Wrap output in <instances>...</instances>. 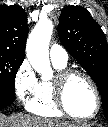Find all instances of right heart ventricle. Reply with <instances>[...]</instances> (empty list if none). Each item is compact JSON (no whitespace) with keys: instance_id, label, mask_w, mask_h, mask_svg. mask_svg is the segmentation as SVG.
Returning <instances> with one entry per match:
<instances>
[{"instance_id":"right-heart-ventricle-1","label":"right heart ventricle","mask_w":108,"mask_h":127,"mask_svg":"<svg viewBox=\"0 0 108 127\" xmlns=\"http://www.w3.org/2000/svg\"><path fill=\"white\" fill-rule=\"evenodd\" d=\"M53 65L59 72L66 69V64L53 63ZM27 107L31 113L42 117L64 116L55 103L53 81H40L38 91Z\"/></svg>"}]
</instances>
